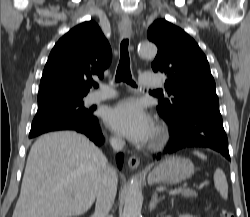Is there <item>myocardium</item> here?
<instances>
[{
    "instance_id": "myocardium-1",
    "label": "myocardium",
    "mask_w": 250,
    "mask_h": 217,
    "mask_svg": "<svg viewBox=\"0 0 250 217\" xmlns=\"http://www.w3.org/2000/svg\"><path fill=\"white\" fill-rule=\"evenodd\" d=\"M166 139H167V133L165 128L162 126H157L154 137L150 144V148L157 149L161 147L165 143Z\"/></svg>"
}]
</instances>
